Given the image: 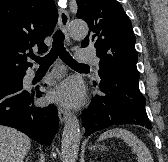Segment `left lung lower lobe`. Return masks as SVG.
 Returning <instances> with one entry per match:
<instances>
[{"label": "left lung lower lobe", "mask_w": 168, "mask_h": 162, "mask_svg": "<svg viewBox=\"0 0 168 162\" xmlns=\"http://www.w3.org/2000/svg\"><path fill=\"white\" fill-rule=\"evenodd\" d=\"M100 78L99 89L103 95H96L82 114L85 136L112 125L135 124L152 128L138 81L115 73H104Z\"/></svg>", "instance_id": "0a47b994"}]
</instances>
